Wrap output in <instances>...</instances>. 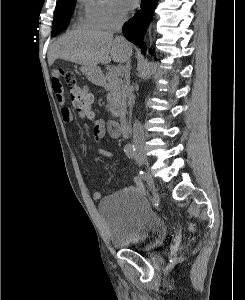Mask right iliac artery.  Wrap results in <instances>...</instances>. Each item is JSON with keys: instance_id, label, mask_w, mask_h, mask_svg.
Here are the masks:
<instances>
[{"instance_id": "1", "label": "right iliac artery", "mask_w": 245, "mask_h": 300, "mask_svg": "<svg viewBox=\"0 0 245 300\" xmlns=\"http://www.w3.org/2000/svg\"><path fill=\"white\" fill-rule=\"evenodd\" d=\"M124 152L131 159L135 158V156H136V149H135V147L133 145H127V146H125ZM140 174H142V171H140ZM148 180H149L148 177H143V182H148Z\"/></svg>"}]
</instances>
